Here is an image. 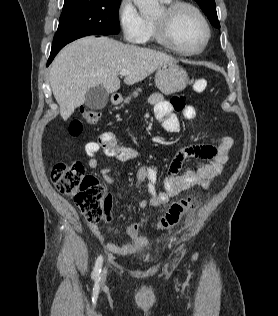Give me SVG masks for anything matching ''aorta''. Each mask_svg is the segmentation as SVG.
I'll list each match as a JSON object with an SVG mask.
<instances>
[{
	"mask_svg": "<svg viewBox=\"0 0 278 316\" xmlns=\"http://www.w3.org/2000/svg\"><path fill=\"white\" fill-rule=\"evenodd\" d=\"M143 17H149L159 12L158 0H133Z\"/></svg>",
	"mask_w": 278,
	"mask_h": 316,
	"instance_id": "762f6f07",
	"label": "aorta"
}]
</instances>
